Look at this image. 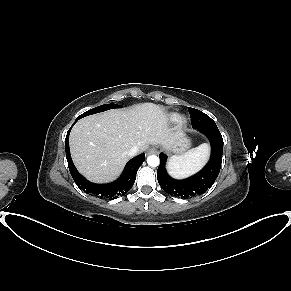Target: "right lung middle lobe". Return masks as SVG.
Segmentation results:
<instances>
[{"mask_svg": "<svg viewBox=\"0 0 291 291\" xmlns=\"http://www.w3.org/2000/svg\"><path fill=\"white\" fill-rule=\"evenodd\" d=\"M113 108H121V106L117 105V104H105V105H101L98 106L96 108H93L91 110L86 111L85 113L81 114L80 116L77 117L76 120H79L85 116L91 115V114H95V113H99V112H103L109 109H113Z\"/></svg>", "mask_w": 291, "mask_h": 291, "instance_id": "right-lung-middle-lobe-1", "label": "right lung middle lobe"}]
</instances>
